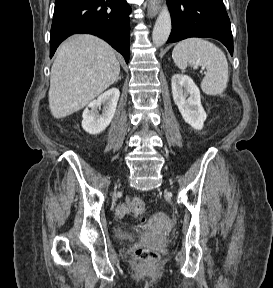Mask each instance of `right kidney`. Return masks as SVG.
<instances>
[{
    "label": "right kidney",
    "mask_w": 273,
    "mask_h": 288,
    "mask_svg": "<svg viewBox=\"0 0 273 288\" xmlns=\"http://www.w3.org/2000/svg\"><path fill=\"white\" fill-rule=\"evenodd\" d=\"M119 96V89L111 88L100 95L97 100L90 102L82 115V128L89 134H99L104 131L114 117ZM101 106L103 110L100 115Z\"/></svg>",
    "instance_id": "1"
}]
</instances>
